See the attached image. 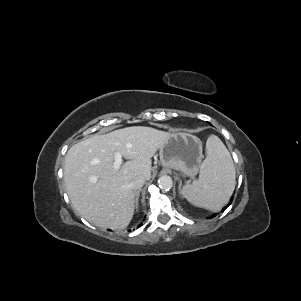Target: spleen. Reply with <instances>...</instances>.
Here are the masks:
<instances>
[{
  "mask_svg": "<svg viewBox=\"0 0 301 301\" xmlns=\"http://www.w3.org/2000/svg\"><path fill=\"white\" fill-rule=\"evenodd\" d=\"M206 153L198 180L186 184L181 193L192 205L218 212L233 194L236 172L229 151L217 136L208 138Z\"/></svg>",
  "mask_w": 301,
  "mask_h": 301,
  "instance_id": "spleen-1",
  "label": "spleen"
}]
</instances>
